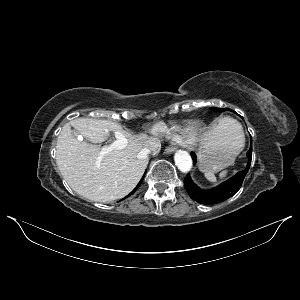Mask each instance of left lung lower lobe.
I'll return each mask as SVG.
<instances>
[{"label":"left lung lower lobe","instance_id":"obj_1","mask_svg":"<svg viewBox=\"0 0 300 300\" xmlns=\"http://www.w3.org/2000/svg\"><path fill=\"white\" fill-rule=\"evenodd\" d=\"M251 155H252V144L247 152V157L249 159L247 167L245 170L238 172L233 178L225 181L219 186L210 189L203 190L199 188L191 179L189 175L186 176L184 180V185L189 196L198 203L205 205H213L220 203L230 197H232L240 189L242 182L250 168L251 165ZM193 162H196V155L191 153Z\"/></svg>","mask_w":300,"mask_h":300}]
</instances>
